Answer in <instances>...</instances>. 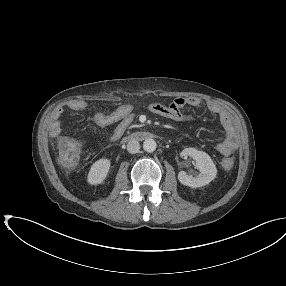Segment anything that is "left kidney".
Masks as SVG:
<instances>
[{
    "label": "left kidney",
    "mask_w": 286,
    "mask_h": 286,
    "mask_svg": "<svg viewBox=\"0 0 286 286\" xmlns=\"http://www.w3.org/2000/svg\"><path fill=\"white\" fill-rule=\"evenodd\" d=\"M181 156L184 159L191 157L196 161L197 168L200 173L194 177L187 174L185 171H180L178 174V180L181 184L189 186L191 188H198L209 184L215 179L217 175V168L213 163L211 157L203 151H199L195 148H185L181 152Z\"/></svg>",
    "instance_id": "left-kidney-1"
}]
</instances>
